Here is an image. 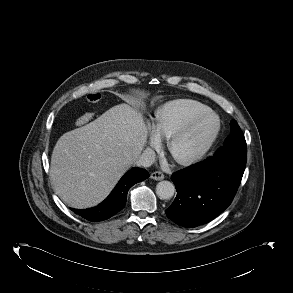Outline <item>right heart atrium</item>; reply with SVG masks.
<instances>
[{
  "instance_id": "obj_1",
  "label": "right heart atrium",
  "mask_w": 293,
  "mask_h": 293,
  "mask_svg": "<svg viewBox=\"0 0 293 293\" xmlns=\"http://www.w3.org/2000/svg\"><path fill=\"white\" fill-rule=\"evenodd\" d=\"M161 143H162L161 137L155 132L153 127H150L149 151L152 152L156 149H159L161 146Z\"/></svg>"
}]
</instances>
